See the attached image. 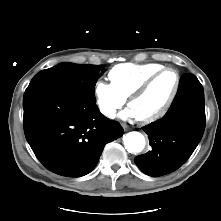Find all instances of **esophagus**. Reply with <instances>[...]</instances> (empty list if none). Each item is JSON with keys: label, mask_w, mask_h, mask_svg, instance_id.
Instances as JSON below:
<instances>
[{"label": "esophagus", "mask_w": 221, "mask_h": 221, "mask_svg": "<svg viewBox=\"0 0 221 221\" xmlns=\"http://www.w3.org/2000/svg\"><path fill=\"white\" fill-rule=\"evenodd\" d=\"M122 127H123V129H124L125 131H128V130H129L128 125H127V124H125V123H123V124H122Z\"/></svg>", "instance_id": "1"}]
</instances>
